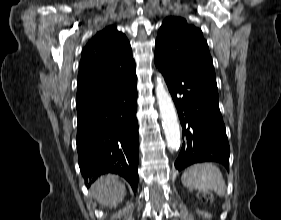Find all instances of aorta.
<instances>
[{"label": "aorta", "mask_w": 281, "mask_h": 220, "mask_svg": "<svg viewBox=\"0 0 281 220\" xmlns=\"http://www.w3.org/2000/svg\"><path fill=\"white\" fill-rule=\"evenodd\" d=\"M155 91L166 141L170 149L178 150L180 147L178 117L172 98L169 92L165 89L161 77H157Z\"/></svg>", "instance_id": "aorta-1"}]
</instances>
